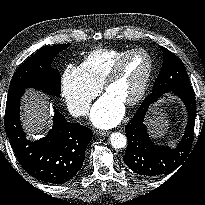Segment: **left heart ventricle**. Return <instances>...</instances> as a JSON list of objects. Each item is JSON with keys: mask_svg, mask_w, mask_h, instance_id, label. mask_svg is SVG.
<instances>
[{"mask_svg": "<svg viewBox=\"0 0 205 205\" xmlns=\"http://www.w3.org/2000/svg\"><path fill=\"white\" fill-rule=\"evenodd\" d=\"M148 65L149 60L145 54L131 56L124 64L119 78L109 86L106 93L124 104L139 90Z\"/></svg>", "mask_w": 205, "mask_h": 205, "instance_id": "b2bd125f", "label": "left heart ventricle"}]
</instances>
